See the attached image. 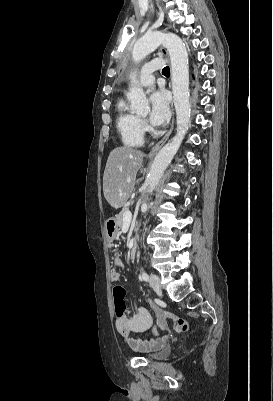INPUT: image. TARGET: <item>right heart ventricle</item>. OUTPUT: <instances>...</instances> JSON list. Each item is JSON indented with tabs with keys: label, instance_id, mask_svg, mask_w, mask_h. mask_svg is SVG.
I'll list each match as a JSON object with an SVG mask.
<instances>
[{
	"label": "right heart ventricle",
	"instance_id": "obj_1",
	"mask_svg": "<svg viewBox=\"0 0 273 401\" xmlns=\"http://www.w3.org/2000/svg\"><path fill=\"white\" fill-rule=\"evenodd\" d=\"M116 128L122 142L128 147H141L144 141L141 120L127 108L124 98H119L115 104Z\"/></svg>",
	"mask_w": 273,
	"mask_h": 401
}]
</instances>
